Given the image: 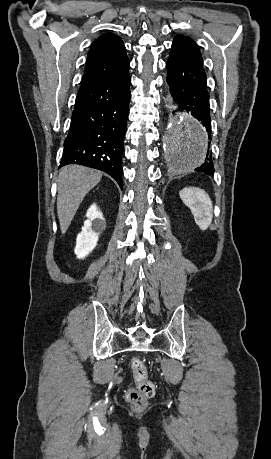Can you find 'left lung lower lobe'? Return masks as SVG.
I'll return each instance as SVG.
<instances>
[{"label":"left lung lower lobe","instance_id":"left-lung-lower-lobe-1","mask_svg":"<svg viewBox=\"0 0 271 459\" xmlns=\"http://www.w3.org/2000/svg\"><path fill=\"white\" fill-rule=\"evenodd\" d=\"M167 83L174 99L179 103L182 110H186L201 121L206 128L208 137L211 138V122L209 94L207 92L206 73L203 67L186 64L168 59ZM210 147V143H208ZM207 152L206 161L195 171L213 174L214 167Z\"/></svg>","mask_w":271,"mask_h":459}]
</instances>
